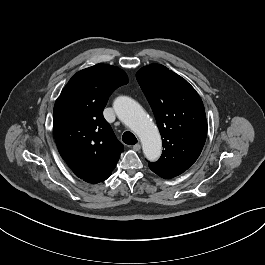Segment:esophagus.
Returning <instances> with one entry per match:
<instances>
[{
  "label": "esophagus",
  "mask_w": 265,
  "mask_h": 265,
  "mask_svg": "<svg viewBox=\"0 0 265 265\" xmlns=\"http://www.w3.org/2000/svg\"><path fill=\"white\" fill-rule=\"evenodd\" d=\"M132 148L135 151H139L141 149V145L138 143V144H135Z\"/></svg>",
  "instance_id": "obj_1"
}]
</instances>
